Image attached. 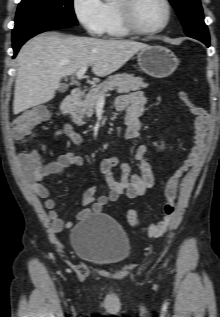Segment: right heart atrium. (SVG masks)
<instances>
[{
	"instance_id": "right-heart-atrium-1",
	"label": "right heart atrium",
	"mask_w": 220,
	"mask_h": 317,
	"mask_svg": "<svg viewBox=\"0 0 220 317\" xmlns=\"http://www.w3.org/2000/svg\"><path fill=\"white\" fill-rule=\"evenodd\" d=\"M73 12L91 35H101L104 31L105 4L102 0H72Z\"/></svg>"
}]
</instances>
